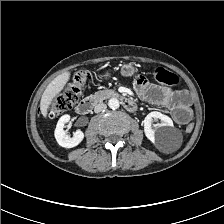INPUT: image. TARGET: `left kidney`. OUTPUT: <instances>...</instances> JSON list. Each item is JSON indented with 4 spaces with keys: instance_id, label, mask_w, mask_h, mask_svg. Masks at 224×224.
Wrapping results in <instances>:
<instances>
[{
    "instance_id": "5707ae66",
    "label": "left kidney",
    "mask_w": 224,
    "mask_h": 224,
    "mask_svg": "<svg viewBox=\"0 0 224 224\" xmlns=\"http://www.w3.org/2000/svg\"><path fill=\"white\" fill-rule=\"evenodd\" d=\"M153 119H160L161 123L158 124L156 128H152V122ZM144 124V133L145 136L152 142L157 143L160 145H165L169 142L168 134L169 131L167 130V127H172L173 122L170 117L157 112L153 111L150 112L143 121Z\"/></svg>"
}]
</instances>
